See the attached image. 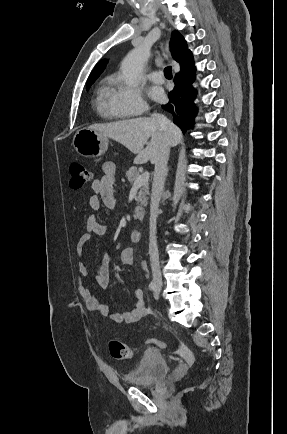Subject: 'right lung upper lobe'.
<instances>
[{
    "instance_id": "right-lung-upper-lobe-1",
    "label": "right lung upper lobe",
    "mask_w": 287,
    "mask_h": 434,
    "mask_svg": "<svg viewBox=\"0 0 287 434\" xmlns=\"http://www.w3.org/2000/svg\"><path fill=\"white\" fill-rule=\"evenodd\" d=\"M170 49L173 58L180 64V66H183L192 58V53L188 50L184 37L178 31L172 33ZM106 64L107 62L105 60H101L91 72L87 83L95 81L105 69Z\"/></svg>"
}]
</instances>
